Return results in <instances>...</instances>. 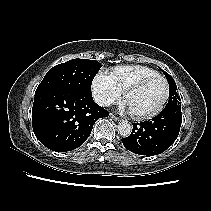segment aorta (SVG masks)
Listing matches in <instances>:
<instances>
[{
  "instance_id": "762f6f07",
  "label": "aorta",
  "mask_w": 211,
  "mask_h": 211,
  "mask_svg": "<svg viewBox=\"0 0 211 211\" xmlns=\"http://www.w3.org/2000/svg\"><path fill=\"white\" fill-rule=\"evenodd\" d=\"M117 128L122 137H128L132 132V126L127 121L119 122Z\"/></svg>"
}]
</instances>
